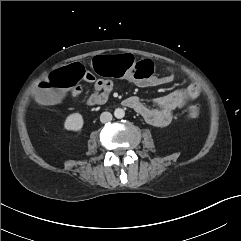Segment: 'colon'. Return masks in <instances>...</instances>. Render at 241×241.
I'll list each match as a JSON object with an SVG mask.
<instances>
[{
    "label": "colon",
    "mask_w": 241,
    "mask_h": 241,
    "mask_svg": "<svg viewBox=\"0 0 241 241\" xmlns=\"http://www.w3.org/2000/svg\"><path fill=\"white\" fill-rule=\"evenodd\" d=\"M93 73L106 74L111 77L126 76L129 78L144 80L151 77L154 72V63L149 59L136 61L130 55H95L89 63ZM86 73L85 66L75 60L68 61L53 74L46 73L40 79V90L37 93V101L40 104H51L59 100L64 92L72 88ZM190 118L200 115V108L192 105L187 109Z\"/></svg>",
    "instance_id": "colon-1"
}]
</instances>
